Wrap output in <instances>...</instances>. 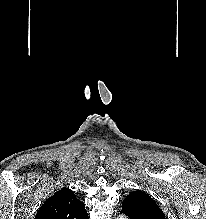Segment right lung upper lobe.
I'll return each mask as SVG.
<instances>
[{"label": "right lung upper lobe", "mask_w": 206, "mask_h": 219, "mask_svg": "<svg viewBox=\"0 0 206 219\" xmlns=\"http://www.w3.org/2000/svg\"><path fill=\"white\" fill-rule=\"evenodd\" d=\"M35 219H89L85 204L74 193L63 188L55 192L40 207Z\"/></svg>", "instance_id": "cb5924a9"}]
</instances>
